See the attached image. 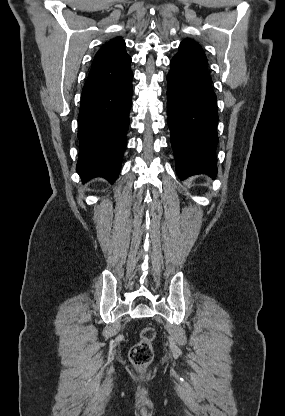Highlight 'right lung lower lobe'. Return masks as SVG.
<instances>
[{
    "instance_id": "obj_1",
    "label": "right lung lower lobe",
    "mask_w": 285,
    "mask_h": 416,
    "mask_svg": "<svg viewBox=\"0 0 285 416\" xmlns=\"http://www.w3.org/2000/svg\"><path fill=\"white\" fill-rule=\"evenodd\" d=\"M130 71L106 87L81 95L77 172L83 182L101 176L114 182L126 147L132 97Z\"/></svg>"
}]
</instances>
